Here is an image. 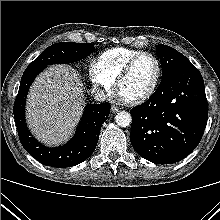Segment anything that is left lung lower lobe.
<instances>
[{
    "label": "left lung lower lobe",
    "mask_w": 220,
    "mask_h": 220,
    "mask_svg": "<svg viewBox=\"0 0 220 220\" xmlns=\"http://www.w3.org/2000/svg\"><path fill=\"white\" fill-rule=\"evenodd\" d=\"M130 113V141L140 156L156 164L184 159L199 144L207 124L202 75L192 64L169 71L149 100Z\"/></svg>",
    "instance_id": "left-lung-lower-lobe-1"
}]
</instances>
